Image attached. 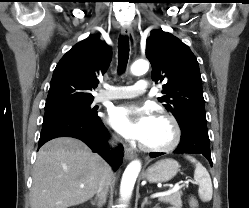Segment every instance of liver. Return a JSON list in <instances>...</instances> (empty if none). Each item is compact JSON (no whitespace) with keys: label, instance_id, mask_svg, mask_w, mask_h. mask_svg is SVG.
<instances>
[{"label":"liver","instance_id":"liver-1","mask_svg":"<svg viewBox=\"0 0 249 208\" xmlns=\"http://www.w3.org/2000/svg\"><path fill=\"white\" fill-rule=\"evenodd\" d=\"M107 174L112 179L109 165L82 141L72 137L52 139L37 153L31 208H68L82 204L98 192Z\"/></svg>","mask_w":249,"mask_h":208}]
</instances>
